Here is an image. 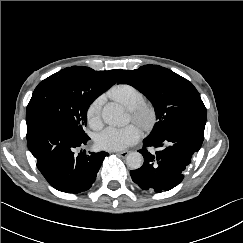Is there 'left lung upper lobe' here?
I'll use <instances>...</instances> for the list:
<instances>
[{"mask_svg": "<svg viewBox=\"0 0 243 243\" xmlns=\"http://www.w3.org/2000/svg\"><path fill=\"white\" fill-rule=\"evenodd\" d=\"M118 83L133 86L153 104L157 122L146 139H159L180 117L206 110L200 94L187 79L158 65L124 70Z\"/></svg>", "mask_w": 243, "mask_h": 243, "instance_id": "1", "label": "left lung upper lobe"}]
</instances>
